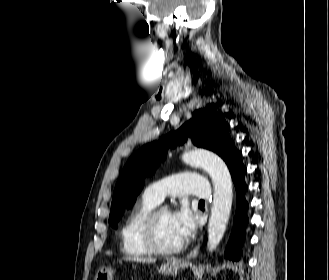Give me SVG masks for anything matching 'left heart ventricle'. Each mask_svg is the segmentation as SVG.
Returning <instances> with one entry per match:
<instances>
[{
    "label": "left heart ventricle",
    "instance_id": "b2bd125f",
    "mask_svg": "<svg viewBox=\"0 0 329 280\" xmlns=\"http://www.w3.org/2000/svg\"><path fill=\"white\" fill-rule=\"evenodd\" d=\"M157 237L159 243L166 247H173L181 242L174 229L171 214L167 210H163L158 217Z\"/></svg>",
    "mask_w": 329,
    "mask_h": 280
}]
</instances>
